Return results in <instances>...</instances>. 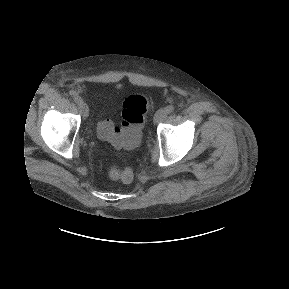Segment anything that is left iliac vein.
<instances>
[{
  "label": "left iliac vein",
  "instance_id": "1",
  "mask_svg": "<svg viewBox=\"0 0 289 289\" xmlns=\"http://www.w3.org/2000/svg\"><path fill=\"white\" fill-rule=\"evenodd\" d=\"M167 114H168V112H167L166 108L159 109L154 115V123L157 124V123L163 121L164 118L167 116Z\"/></svg>",
  "mask_w": 289,
  "mask_h": 289
}]
</instances>
